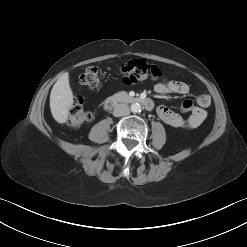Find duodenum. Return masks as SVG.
Masks as SVG:
<instances>
[{
    "instance_id": "obj_1",
    "label": "duodenum",
    "mask_w": 247,
    "mask_h": 247,
    "mask_svg": "<svg viewBox=\"0 0 247 247\" xmlns=\"http://www.w3.org/2000/svg\"><path fill=\"white\" fill-rule=\"evenodd\" d=\"M121 102L137 103L144 106L147 110H152L154 108L153 101L149 98L132 97L122 93H117L108 97L104 103V106L106 109H111Z\"/></svg>"
}]
</instances>
